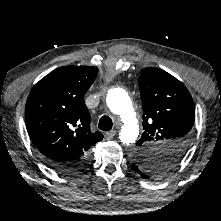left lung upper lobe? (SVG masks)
<instances>
[{"mask_svg": "<svg viewBox=\"0 0 221 221\" xmlns=\"http://www.w3.org/2000/svg\"><path fill=\"white\" fill-rule=\"evenodd\" d=\"M138 83L144 132L136 142V163L148 175H162L177 166L189 147L194 102L178 79L159 68L141 70Z\"/></svg>", "mask_w": 221, "mask_h": 221, "instance_id": "left-lung-upper-lobe-1", "label": "left lung upper lobe"}]
</instances>
